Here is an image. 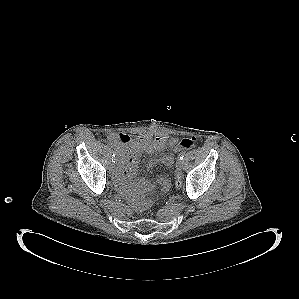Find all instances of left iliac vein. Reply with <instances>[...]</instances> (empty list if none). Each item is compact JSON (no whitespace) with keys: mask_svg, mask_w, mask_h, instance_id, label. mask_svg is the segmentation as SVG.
I'll return each mask as SVG.
<instances>
[{"mask_svg":"<svg viewBox=\"0 0 299 299\" xmlns=\"http://www.w3.org/2000/svg\"><path fill=\"white\" fill-rule=\"evenodd\" d=\"M183 164H184V162L180 158H178V160L176 162V167L178 169H182L183 168Z\"/></svg>","mask_w":299,"mask_h":299,"instance_id":"4c4485c4","label":"left iliac vein"}]
</instances>
